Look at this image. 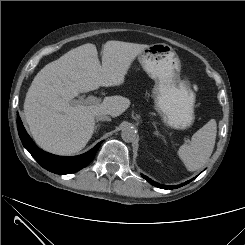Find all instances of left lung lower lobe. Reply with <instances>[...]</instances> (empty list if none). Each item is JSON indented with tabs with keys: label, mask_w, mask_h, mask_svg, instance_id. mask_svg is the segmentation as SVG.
Returning <instances> with one entry per match:
<instances>
[{
	"label": "left lung lower lobe",
	"mask_w": 245,
	"mask_h": 245,
	"mask_svg": "<svg viewBox=\"0 0 245 245\" xmlns=\"http://www.w3.org/2000/svg\"><path fill=\"white\" fill-rule=\"evenodd\" d=\"M142 176H143V178L146 179L149 183H151L152 185H154V186H156V187H159V188H161V189H173V186L162 185V184H159V183H157V182L152 181L150 178H148V177H146V176H144V175H142ZM193 179H194V178H193ZM193 179H191L190 181H192ZM190 181H187V182H185L184 184L176 185V186H174V188L181 187V186H183V185L189 183Z\"/></svg>",
	"instance_id": "left-lung-lower-lobe-1"
}]
</instances>
